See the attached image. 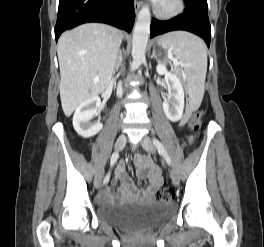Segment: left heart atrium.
<instances>
[{
  "instance_id": "39dd6f15",
  "label": "left heart atrium",
  "mask_w": 264,
  "mask_h": 247,
  "mask_svg": "<svg viewBox=\"0 0 264 247\" xmlns=\"http://www.w3.org/2000/svg\"><path fill=\"white\" fill-rule=\"evenodd\" d=\"M155 2H161L162 0H154Z\"/></svg>"
}]
</instances>
